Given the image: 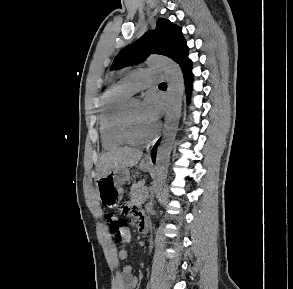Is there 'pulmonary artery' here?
I'll return each instance as SVG.
<instances>
[{"instance_id": "1", "label": "pulmonary artery", "mask_w": 293, "mask_h": 289, "mask_svg": "<svg viewBox=\"0 0 293 289\" xmlns=\"http://www.w3.org/2000/svg\"><path fill=\"white\" fill-rule=\"evenodd\" d=\"M161 80L162 74L160 72L152 69H139L123 77L119 83L133 94Z\"/></svg>"}]
</instances>
